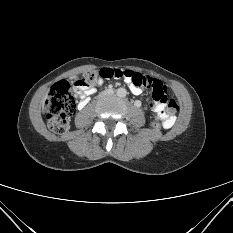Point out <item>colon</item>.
I'll list each match as a JSON object with an SVG mask.
<instances>
[{"label":"colon","mask_w":233,"mask_h":233,"mask_svg":"<svg viewBox=\"0 0 233 233\" xmlns=\"http://www.w3.org/2000/svg\"><path fill=\"white\" fill-rule=\"evenodd\" d=\"M101 78H123L138 88L151 89L153 91V102L163 104L164 112L170 119H173L175 114L179 111L177 102L174 99L167 98L165 87L160 81L130 70L103 68L97 71H89L85 73L76 84L82 87H88ZM74 110L75 99L71 93L69 83L66 81H59L54 84L45 104L47 123L50 130L56 134L65 133L70 125L69 115L73 113ZM152 126L159 129L165 126V124L164 122L154 121Z\"/></svg>","instance_id":"1"}]
</instances>
